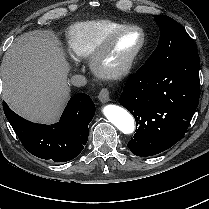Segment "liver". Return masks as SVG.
Returning a JSON list of instances; mask_svg holds the SVG:
<instances>
[{"mask_svg": "<svg viewBox=\"0 0 209 209\" xmlns=\"http://www.w3.org/2000/svg\"><path fill=\"white\" fill-rule=\"evenodd\" d=\"M68 72L69 64L57 39L42 31L25 33L3 57V98L21 116L52 123L70 94Z\"/></svg>", "mask_w": 209, "mask_h": 209, "instance_id": "liver-1", "label": "liver"}]
</instances>
